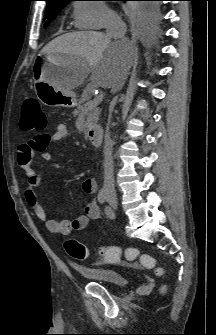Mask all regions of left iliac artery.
I'll list each match as a JSON object with an SVG mask.
<instances>
[{"label":"left iliac artery","instance_id":"44dca946","mask_svg":"<svg viewBox=\"0 0 216 335\" xmlns=\"http://www.w3.org/2000/svg\"><path fill=\"white\" fill-rule=\"evenodd\" d=\"M105 212H106V214H107L108 216H111V215H112V210H111L110 207H106V208H105Z\"/></svg>","mask_w":216,"mask_h":335}]
</instances>
